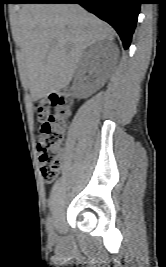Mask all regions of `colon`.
<instances>
[{"mask_svg": "<svg viewBox=\"0 0 166 267\" xmlns=\"http://www.w3.org/2000/svg\"><path fill=\"white\" fill-rule=\"evenodd\" d=\"M73 106V94L66 89L52 93L35 107L39 124L38 151L42 165L41 173L47 182L52 181L61 168L63 162L61 143Z\"/></svg>", "mask_w": 166, "mask_h": 267, "instance_id": "5ec220e1", "label": "colon"}]
</instances>
